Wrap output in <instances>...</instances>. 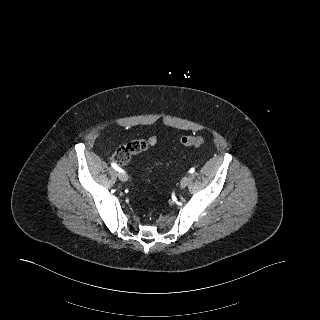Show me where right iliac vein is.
<instances>
[{"mask_svg":"<svg viewBox=\"0 0 320 320\" xmlns=\"http://www.w3.org/2000/svg\"><path fill=\"white\" fill-rule=\"evenodd\" d=\"M118 177L122 182H126L128 180V176L125 172H119Z\"/></svg>","mask_w":320,"mask_h":320,"instance_id":"1","label":"right iliac vein"}]
</instances>
